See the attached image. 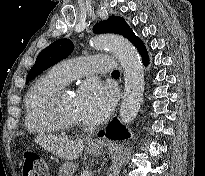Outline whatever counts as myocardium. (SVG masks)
<instances>
[{"label":"myocardium","mask_w":205,"mask_h":176,"mask_svg":"<svg viewBox=\"0 0 205 176\" xmlns=\"http://www.w3.org/2000/svg\"><path fill=\"white\" fill-rule=\"evenodd\" d=\"M69 91L63 87L55 91L49 99V114L57 124L59 130L75 129L82 127V123L67 117L61 108L62 97Z\"/></svg>","instance_id":"1"}]
</instances>
